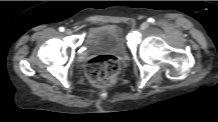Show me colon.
Instances as JSON below:
<instances>
[{"instance_id": "colon-1", "label": "colon", "mask_w": 218, "mask_h": 122, "mask_svg": "<svg viewBox=\"0 0 218 122\" xmlns=\"http://www.w3.org/2000/svg\"><path fill=\"white\" fill-rule=\"evenodd\" d=\"M119 70L120 63L117 57L99 55L89 61L86 75L91 84L99 87H108L116 82Z\"/></svg>"}]
</instances>
